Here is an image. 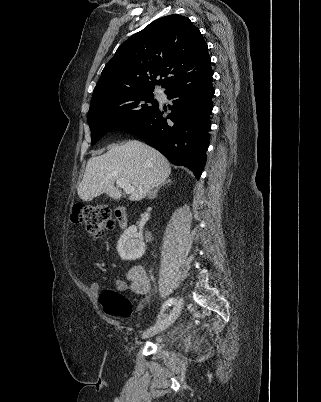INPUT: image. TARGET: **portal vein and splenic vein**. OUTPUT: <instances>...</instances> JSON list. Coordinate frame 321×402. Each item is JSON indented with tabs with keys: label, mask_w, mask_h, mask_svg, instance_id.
Listing matches in <instances>:
<instances>
[{
	"label": "portal vein and splenic vein",
	"mask_w": 321,
	"mask_h": 402,
	"mask_svg": "<svg viewBox=\"0 0 321 402\" xmlns=\"http://www.w3.org/2000/svg\"><path fill=\"white\" fill-rule=\"evenodd\" d=\"M116 184L118 187L124 189L126 194H131L135 191L134 186H132L130 182L124 178L117 179Z\"/></svg>",
	"instance_id": "1"
}]
</instances>
